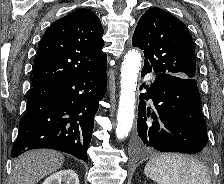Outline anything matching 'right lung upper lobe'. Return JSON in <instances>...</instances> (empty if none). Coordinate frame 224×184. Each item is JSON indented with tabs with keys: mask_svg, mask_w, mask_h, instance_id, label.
Returning <instances> with one entry per match:
<instances>
[{
	"mask_svg": "<svg viewBox=\"0 0 224 184\" xmlns=\"http://www.w3.org/2000/svg\"><path fill=\"white\" fill-rule=\"evenodd\" d=\"M103 27L89 9L55 21L45 32L34 61L32 86L95 72L106 65Z\"/></svg>",
	"mask_w": 224,
	"mask_h": 184,
	"instance_id": "right-lung-upper-lobe-1",
	"label": "right lung upper lobe"
}]
</instances>
